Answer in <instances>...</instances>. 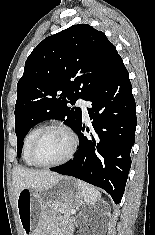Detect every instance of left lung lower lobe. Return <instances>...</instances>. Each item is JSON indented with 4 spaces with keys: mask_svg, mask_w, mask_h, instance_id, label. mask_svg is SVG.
<instances>
[{
    "mask_svg": "<svg viewBox=\"0 0 155 235\" xmlns=\"http://www.w3.org/2000/svg\"><path fill=\"white\" fill-rule=\"evenodd\" d=\"M87 101L91 102L87 110L93 131L85 137L81 120L75 129L79 137L76 155L50 170L104 189L117 204L131 167L130 152L137 125L132 86L121 58Z\"/></svg>",
    "mask_w": 155,
    "mask_h": 235,
    "instance_id": "1",
    "label": "left lung lower lobe"
}]
</instances>
